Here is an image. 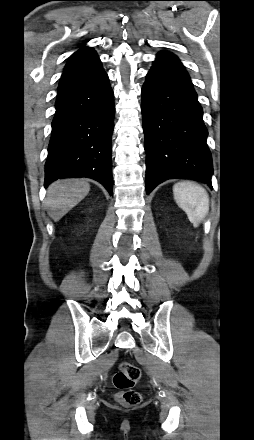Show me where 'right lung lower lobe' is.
<instances>
[{
  "label": "right lung lower lobe",
  "mask_w": 254,
  "mask_h": 440,
  "mask_svg": "<svg viewBox=\"0 0 254 440\" xmlns=\"http://www.w3.org/2000/svg\"><path fill=\"white\" fill-rule=\"evenodd\" d=\"M113 91L100 60L62 75L45 163V181L88 177L112 195Z\"/></svg>",
  "instance_id": "98d812e1"
}]
</instances>
